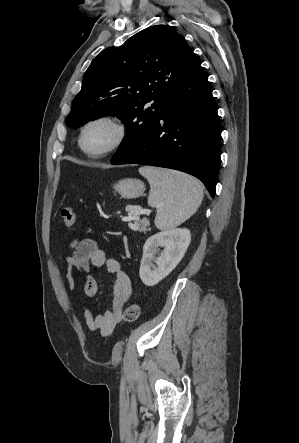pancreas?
<instances>
[{"mask_svg":"<svg viewBox=\"0 0 299 443\" xmlns=\"http://www.w3.org/2000/svg\"><path fill=\"white\" fill-rule=\"evenodd\" d=\"M135 216H137V215H135ZM149 225H150L149 220L146 218L136 221V228H138L140 231H142L144 233L150 230L148 228Z\"/></svg>","mask_w":299,"mask_h":443,"instance_id":"pancreas-1","label":"pancreas"}]
</instances>
